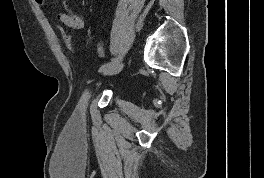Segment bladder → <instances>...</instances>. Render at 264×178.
<instances>
[{"mask_svg": "<svg viewBox=\"0 0 264 178\" xmlns=\"http://www.w3.org/2000/svg\"><path fill=\"white\" fill-rule=\"evenodd\" d=\"M96 91V89L93 87V86H88L86 89H85V95H90V94H93L94 92Z\"/></svg>", "mask_w": 264, "mask_h": 178, "instance_id": "bladder-1", "label": "bladder"}]
</instances>
